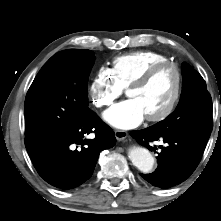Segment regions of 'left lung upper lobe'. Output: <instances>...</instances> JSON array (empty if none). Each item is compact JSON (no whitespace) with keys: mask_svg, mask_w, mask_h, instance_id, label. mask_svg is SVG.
Masks as SVG:
<instances>
[{"mask_svg":"<svg viewBox=\"0 0 221 221\" xmlns=\"http://www.w3.org/2000/svg\"><path fill=\"white\" fill-rule=\"evenodd\" d=\"M182 73L183 89L178 106L153 127L166 134L186 133L209 139L213 126L212 99L206 83L187 63H183Z\"/></svg>","mask_w":221,"mask_h":221,"instance_id":"obj_1","label":"left lung upper lobe"}]
</instances>
